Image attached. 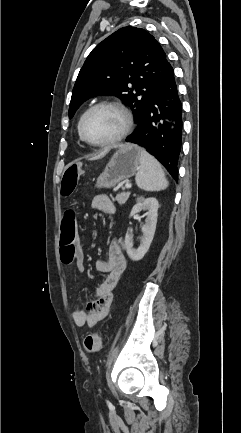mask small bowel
<instances>
[{
    "mask_svg": "<svg viewBox=\"0 0 241 433\" xmlns=\"http://www.w3.org/2000/svg\"><path fill=\"white\" fill-rule=\"evenodd\" d=\"M92 208L99 213L109 215L114 214L115 212V206L112 200L105 194H99L93 198ZM74 260L77 269L83 271L84 253L82 249L79 252L75 251ZM95 268L99 273H104L107 276L96 289L95 299L90 301L85 309H77L73 312V320L79 327L95 326L97 323L102 321L111 310L114 289L126 269V260L117 241H112L110 243L108 248V259L106 261L97 260Z\"/></svg>",
    "mask_w": 241,
    "mask_h": 433,
    "instance_id": "small-bowel-1",
    "label": "small bowel"
}]
</instances>
